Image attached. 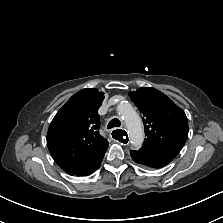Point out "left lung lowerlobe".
Segmentation results:
<instances>
[{
  "mask_svg": "<svg viewBox=\"0 0 223 223\" xmlns=\"http://www.w3.org/2000/svg\"><path fill=\"white\" fill-rule=\"evenodd\" d=\"M130 155L136 163L150 168L163 167L174 158L167 153L143 146L137 151L131 150Z\"/></svg>",
  "mask_w": 223,
  "mask_h": 223,
  "instance_id": "obj_1",
  "label": "left lung lower lobe"
}]
</instances>
